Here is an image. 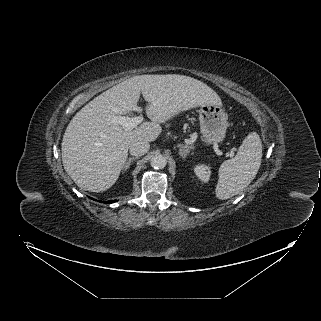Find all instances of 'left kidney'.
<instances>
[{"label":"left kidney","mask_w":321,"mask_h":321,"mask_svg":"<svg viewBox=\"0 0 321 321\" xmlns=\"http://www.w3.org/2000/svg\"><path fill=\"white\" fill-rule=\"evenodd\" d=\"M194 173L203 182H208L211 175V169L204 164H198L194 167Z\"/></svg>","instance_id":"obj_1"}]
</instances>
